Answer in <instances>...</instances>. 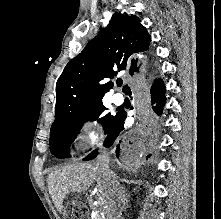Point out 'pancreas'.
<instances>
[{"instance_id": "cf45deb5", "label": "pancreas", "mask_w": 221, "mask_h": 219, "mask_svg": "<svg viewBox=\"0 0 221 219\" xmlns=\"http://www.w3.org/2000/svg\"><path fill=\"white\" fill-rule=\"evenodd\" d=\"M95 219H102V218H101V216H100L99 214H97V215L95 216Z\"/></svg>"}]
</instances>
